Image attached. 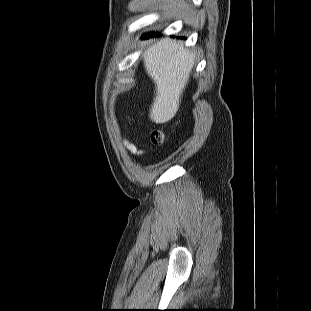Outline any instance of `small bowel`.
I'll list each match as a JSON object with an SVG mask.
<instances>
[{
    "mask_svg": "<svg viewBox=\"0 0 311 311\" xmlns=\"http://www.w3.org/2000/svg\"><path fill=\"white\" fill-rule=\"evenodd\" d=\"M122 144L125 147V149L132 155H141L143 153L142 150H139L134 144H132L131 142H129L126 139L122 140Z\"/></svg>",
    "mask_w": 311,
    "mask_h": 311,
    "instance_id": "small-bowel-1",
    "label": "small bowel"
}]
</instances>
